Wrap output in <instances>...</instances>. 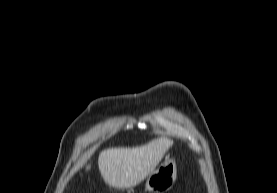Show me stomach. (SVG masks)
<instances>
[{"label": "stomach", "instance_id": "0dacf381", "mask_svg": "<svg viewBox=\"0 0 277 193\" xmlns=\"http://www.w3.org/2000/svg\"><path fill=\"white\" fill-rule=\"evenodd\" d=\"M177 178L175 160L166 158L146 179L145 189L151 193H165L174 185Z\"/></svg>", "mask_w": 277, "mask_h": 193}]
</instances>
